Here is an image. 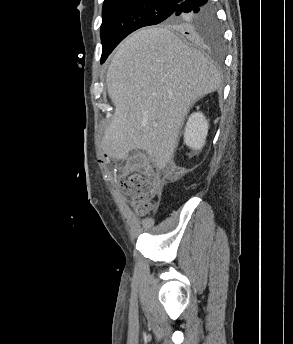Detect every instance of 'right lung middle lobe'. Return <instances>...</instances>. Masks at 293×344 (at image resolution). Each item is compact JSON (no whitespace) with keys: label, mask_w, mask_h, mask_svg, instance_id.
Instances as JSON below:
<instances>
[{"label":"right lung middle lobe","mask_w":293,"mask_h":344,"mask_svg":"<svg viewBox=\"0 0 293 344\" xmlns=\"http://www.w3.org/2000/svg\"><path fill=\"white\" fill-rule=\"evenodd\" d=\"M177 4L159 0H132L103 4L101 63L131 32L164 21L189 39L213 49L223 45L222 30L214 9L208 12L175 15Z\"/></svg>","instance_id":"1"}]
</instances>
